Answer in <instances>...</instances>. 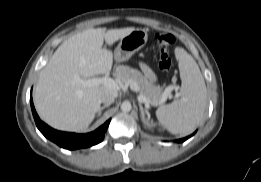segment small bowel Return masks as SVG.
I'll return each instance as SVG.
<instances>
[{
	"instance_id": "small-bowel-1",
	"label": "small bowel",
	"mask_w": 261,
	"mask_h": 182,
	"mask_svg": "<svg viewBox=\"0 0 261 182\" xmlns=\"http://www.w3.org/2000/svg\"><path fill=\"white\" fill-rule=\"evenodd\" d=\"M141 70L149 81H155V74L148 65L142 63Z\"/></svg>"
}]
</instances>
